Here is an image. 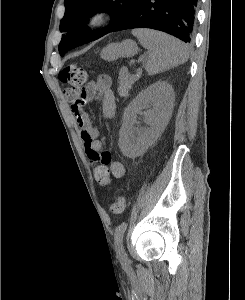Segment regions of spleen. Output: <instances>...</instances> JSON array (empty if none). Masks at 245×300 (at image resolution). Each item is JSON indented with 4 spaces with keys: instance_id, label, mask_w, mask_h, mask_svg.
I'll use <instances>...</instances> for the list:
<instances>
[{
    "instance_id": "1",
    "label": "spleen",
    "mask_w": 245,
    "mask_h": 300,
    "mask_svg": "<svg viewBox=\"0 0 245 300\" xmlns=\"http://www.w3.org/2000/svg\"><path fill=\"white\" fill-rule=\"evenodd\" d=\"M132 34L149 51V57L145 62L148 75L162 72L188 59L189 55L184 43L170 35L150 29H136Z\"/></svg>"
}]
</instances>
